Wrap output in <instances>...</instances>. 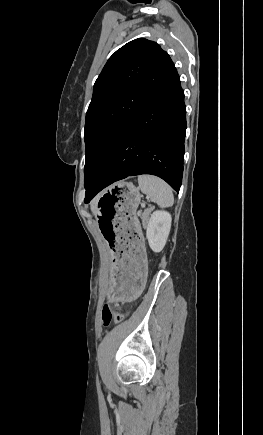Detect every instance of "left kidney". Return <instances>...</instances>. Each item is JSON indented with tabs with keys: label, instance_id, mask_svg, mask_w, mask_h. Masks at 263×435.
Listing matches in <instances>:
<instances>
[{
	"label": "left kidney",
	"instance_id": "1",
	"mask_svg": "<svg viewBox=\"0 0 263 435\" xmlns=\"http://www.w3.org/2000/svg\"><path fill=\"white\" fill-rule=\"evenodd\" d=\"M171 222L172 217L166 211L157 210L151 215L146 226V237L150 248L154 252H160L164 248L170 232Z\"/></svg>",
	"mask_w": 263,
	"mask_h": 435
}]
</instances>
